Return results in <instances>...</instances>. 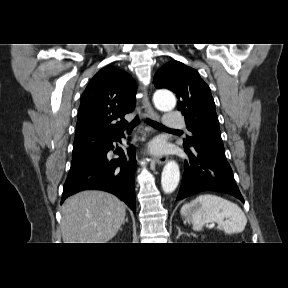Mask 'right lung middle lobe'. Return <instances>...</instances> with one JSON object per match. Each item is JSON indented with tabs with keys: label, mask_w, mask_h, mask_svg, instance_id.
<instances>
[{
	"label": "right lung middle lobe",
	"mask_w": 288,
	"mask_h": 288,
	"mask_svg": "<svg viewBox=\"0 0 288 288\" xmlns=\"http://www.w3.org/2000/svg\"><path fill=\"white\" fill-rule=\"evenodd\" d=\"M84 154H86V153H82V152H73V153H72V159L79 158V157L83 156Z\"/></svg>",
	"instance_id": "1"
}]
</instances>
